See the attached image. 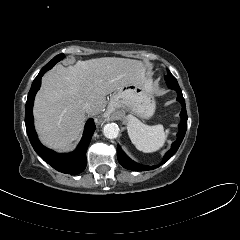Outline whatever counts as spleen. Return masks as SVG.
<instances>
[{"label": "spleen", "instance_id": "spleen-1", "mask_svg": "<svg viewBox=\"0 0 240 240\" xmlns=\"http://www.w3.org/2000/svg\"><path fill=\"white\" fill-rule=\"evenodd\" d=\"M127 132L135 147L144 153L156 152L162 148L169 133L160 124L149 126L134 116L128 117Z\"/></svg>", "mask_w": 240, "mask_h": 240}]
</instances>
